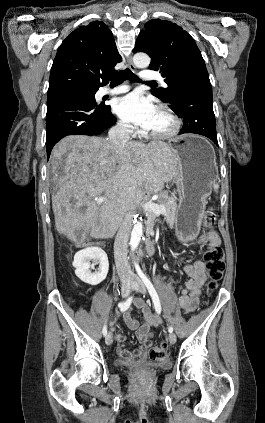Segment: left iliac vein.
Returning a JSON list of instances; mask_svg holds the SVG:
<instances>
[{"mask_svg":"<svg viewBox=\"0 0 265 423\" xmlns=\"http://www.w3.org/2000/svg\"><path fill=\"white\" fill-rule=\"evenodd\" d=\"M132 288H133V290H135L137 292H140V293H143V294L146 293V288H145L143 282L138 277L134 278V281L132 283ZM169 341H170L171 344H174L176 342V335L173 334V333H170L169 334Z\"/></svg>","mask_w":265,"mask_h":423,"instance_id":"1","label":"left iliac vein"}]
</instances>
